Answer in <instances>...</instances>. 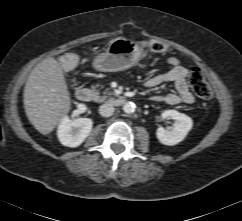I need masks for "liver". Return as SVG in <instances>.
Listing matches in <instances>:
<instances>
[{"instance_id":"1","label":"liver","mask_w":242,"mask_h":221,"mask_svg":"<svg viewBox=\"0 0 242 221\" xmlns=\"http://www.w3.org/2000/svg\"><path fill=\"white\" fill-rule=\"evenodd\" d=\"M24 108L30 123L43 135L51 133L71 109L60 63L46 58L30 73L24 88Z\"/></svg>"}]
</instances>
